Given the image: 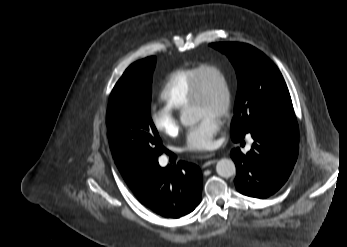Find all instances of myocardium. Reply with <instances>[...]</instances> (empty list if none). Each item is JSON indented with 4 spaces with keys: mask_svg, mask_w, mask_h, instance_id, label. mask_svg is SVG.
Wrapping results in <instances>:
<instances>
[{
    "mask_svg": "<svg viewBox=\"0 0 347 247\" xmlns=\"http://www.w3.org/2000/svg\"><path fill=\"white\" fill-rule=\"evenodd\" d=\"M208 72L216 73L222 81L224 89V101L222 108L219 112V117H227L232 109L233 105V89L229 75L226 71L219 65L214 63H204L199 65L196 77L194 79L191 92L190 100L188 107L199 105L203 102L204 99V76Z\"/></svg>",
    "mask_w": 347,
    "mask_h": 247,
    "instance_id": "obj_1",
    "label": "myocardium"
}]
</instances>
